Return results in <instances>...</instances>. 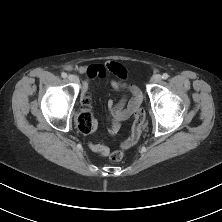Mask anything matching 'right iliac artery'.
Here are the masks:
<instances>
[{
	"instance_id": "1",
	"label": "right iliac artery",
	"mask_w": 222,
	"mask_h": 222,
	"mask_svg": "<svg viewBox=\"0 0 222 222\" xmlns=\"http://www.w3.org/2000/svg\"><path fill=\"white\" fill-rule=\"evenodd\" d=\"M61 76H62L63 78H66V77H67V74H66L65 72H63V73L61 74Z\"/></svg>"
}]
</instances>
